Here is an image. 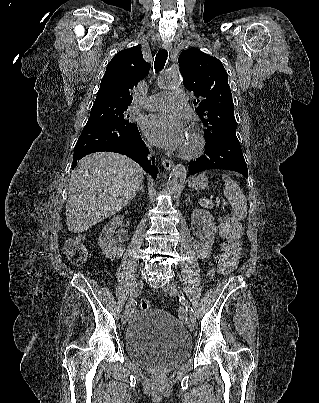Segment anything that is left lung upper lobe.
Wrapping results in <instances>:
<instances>
[{"label": "left lung upper lobe", "mask_w": 319, "mask_h": 403, "mask_svg": "<svg viewBox=\"0 0 319 403\" xmlns=\"http://www.w3.org/2000/svg\"><path fill=\"white\" fill-rule=\"evenodd\" d=\"M178 62L184 86L198 98L194 100L195 111L206 127V140L213 142L236 131L232 94L221 61L191 48L180 54Z\"/></svg>", "instance_id": "left-lung-upper-lobe-1"}]
</instances>
